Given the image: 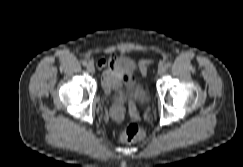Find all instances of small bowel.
<instances>
[{"mask_svg":"<svg viewBox=\"0 0 243 167\" xmlns=\"http://www.w3.org/2000/svg\"><path fill=\"white\" fill-rule=\"evenodd\" d=\"M119 55H113L108 64V68L104 71L103 74V89L105 94L107 95H113L114 98V104L110 107V116L115 121L122 120L124 116V104L123 99L119 94V83H118V76L115 72V64L117 60L119 59ZM106 65V62L104 60L98 61V66L100 68H104ZM132 114L133 116L136 115L135 108L132 106Z\"/></svg>","mask_w":243,"mask_h":167,"instance_id":"1","label":"small bowel"}]
</instances>
